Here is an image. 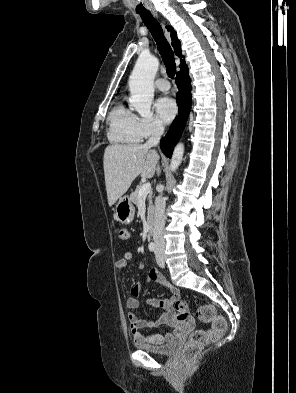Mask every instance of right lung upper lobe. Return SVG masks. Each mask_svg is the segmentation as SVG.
Segmentation results:
<instances>
[{
	"instance_id": "1",
	"label": "right lung upper lobe",
	"mask_w": 296,
	"mask_h": 393,
	"mask_svg": "<svg viewBox=\"0 0 296 393\" xmlns=\"http://www.w3.org/2000/svg\"><path fill=\"white\" fill-rule=\"evenodd\" d=\"M168 29V31H170L171 33V39H172V46L174 48V51L176 53L177 56L182 57L181 54V45H180V41L177 38V34L176 31L171 27V26H167L166 27ZM183 65H185L184 61H181L180 67H182Z\"/></svg>"
}]
</instances>
